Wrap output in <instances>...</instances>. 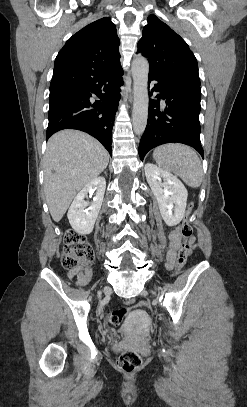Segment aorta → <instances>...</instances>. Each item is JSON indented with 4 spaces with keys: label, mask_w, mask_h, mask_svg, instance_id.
<instances>
[{
    "label": "aorta",
    "mask_w": 247,
    "mask_h": 407,
    "mask_svg": "<svg viewBox=\"0 0 247 407\" xmlns=\"http://www.w3.org/2000/svg\"><path fill=\"white\" fill-rule=\"evenodd\" d=\"M132 77H133V111L132 123L134 132L137 135H142L148 118V73L149 64L146 58L137 56L132 61Z\"/></svg>",
    "instance_id": "aorta-1"
}]
</instances>
